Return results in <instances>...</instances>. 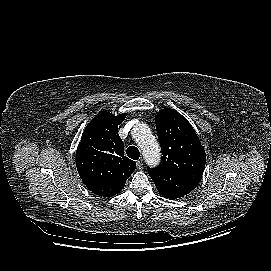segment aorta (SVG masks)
<instances>
[{
  "label": "aorta",
  "instance_id": "obj_1",
  "mask_svg": "<svg viewBox=\"0 0 271 271\" xmlns=\"http://www.w3.org/2000/svg\"><path fill=\"white\" fill-rule=\"evenodd\" d=\"M132 136L142 150L146 163L150 166L158 165L160 161V147L150 128L145 123H138L132 129Z\"/></svg>",
  "mask_w": 271,
  "mask_h": 271
}]
</instances>
